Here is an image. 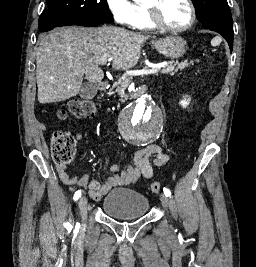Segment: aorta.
Wrapping results in <instances>:
<instances>
[{
	"mask_svg": "<svg viewBox=\"0 0 256 267\" xmlns=\"http://www.w3.org/2000/svg\"><path fill=\"white\" fill-rule=\"evenodd\" d=\"M152 95H143L140 101H132L125 117H118L120 127H160L164 117L161 108L152 101ZM128 143H158L160 128H121Z\"/></svg>",
	"mask_w": 256,
	"mask_h": 267,
	"instance_id": "1",
	"label": "aorta"
}]
</instances>
